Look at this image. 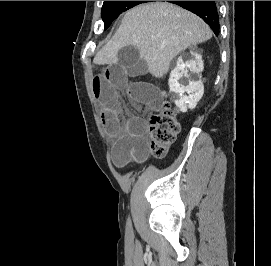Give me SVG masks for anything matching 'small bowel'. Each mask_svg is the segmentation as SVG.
<instances>
[{
    "instance_id": "c3829d8e",
    "label": "small bowel",
    "mask_w": 271,
    "mask_h": 266,
    "mask_svg": "<svg viewBox=\"0 0 271 266\" xmlns=\"http://www.w3.org/2000/svg\"><path fill=\"white\" fill-rule=\"evenodd\" d=\"M147 73L146 64L127 56L125 62L106 65L92 81V90L100 106L103 126L113 139V163L122 167L130 162H142L148 155L146 122L137 116L122 121L123 106L120 93H125L136 106L156 109L162 97L150 83L131 79Z\"/></svg>"
}]
</instances>
